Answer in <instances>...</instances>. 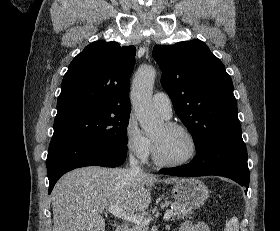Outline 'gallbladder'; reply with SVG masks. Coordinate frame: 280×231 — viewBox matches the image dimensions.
Segmentation results:
<instances>
[{
    "label": "gallbladder",
    "instance_id": "bac80fb5",
    "mask_svg": "<svg viewBox=\"0 0 280 231\" xmlns=\"http://www.w3.org/2000/svg\"><path fill=\"white\" fill-rule=\"evenodd\" d=\"M113 225H117V223H115V221H114Z\"/></svg>",
    "mask_w": 280,
    "mask_h": 231
}]
</instances>
